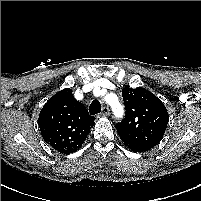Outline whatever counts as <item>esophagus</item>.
I'll return each mask as SVG.
<instances>
[{"instance_id":"obj_1","label":"esophagus","mask_w":201,"mask_h":201,"mask_svg":"<svg viewBox=\"0 0 201 201\" xmlns=\"http://www.w3.org/2000/svg\"><path fill=\"white\" fill-rule=\"evenodd\" d=\"M109 113H110L109 107L104 106L100 115H101V116H108Z\"/></svg>"}]
</instances>
